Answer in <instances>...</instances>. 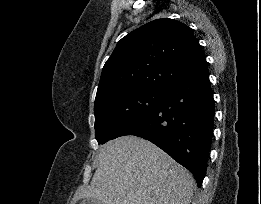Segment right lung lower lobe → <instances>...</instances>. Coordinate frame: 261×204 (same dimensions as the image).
Returning a JSON list of instances; mask_svg holds the SVG:
<instances>
[{"label": "right lung lower lobe", "mask_w": 261, "mask_h": 204, "mask_svg": "<svg viewBox=\"0 0 261 204\" xmlns=\"http://www.w3.org/2000/svg\"><path fill=\"white\" fill-rule=\"evenodd\" d=\"M215 106L207 63L164 91L161 100L120 136L147 139L190 170L201 186L207 169Z\"/></svg>", "instance_id": "obj_1"}]
</instances>
